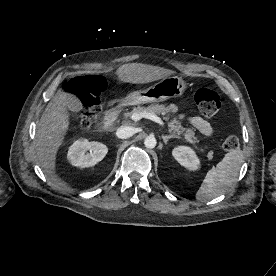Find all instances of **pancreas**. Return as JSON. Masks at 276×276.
I'll return each instance as SVG.
<instances>
[{
  "mask_svg": "<svg viewBox=\"0 0 276 276\" xmlns=\"http://www.w3.org/2000/svg\"><path fill=\"white\" fill-rule=\"evenodd\" d=\"M178 111L177 106L171 104L169 106H165L164 104H151L148 107H136L133 108L132 111L130 112H125L124 113V118H130L132 116L133 113H141V112H149V113H153V114H158V115H166L168 113H175ZM166 120H168V118H165ZM169 126V130L176 134L177 136L179 135H183L184 139L195 145L196 143H198V138L195 136L194 131L192 129H187L184 128L181 124V122L177 119H172L170 120V122L168 123ZM208 159H212L213 158V153L209 152L207 154Z\"/></svg>",
  "mask_w": 276,
  "mask_h": 276,
  "instance_id": "obj_1",
  "label": "pancreas"
}]
</instances>
